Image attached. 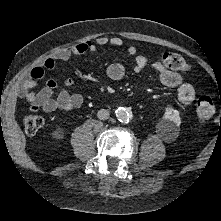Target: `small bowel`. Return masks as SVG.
Listing matches in <instances>:
<instances>
[{
    "label": "small bowel",
    "mask_w": 221,
    "mask_h": 221,
    "mask_svg": "<svg viewBox=\"0 0 221 221\" xmlns=\"http://www.w3.org/2000/svg\"><path fill=\"white\" fill-rule=\"evenodd\" d=\"M111 45L121 47L124 41L119 36H100L96 40H87L75 44L71 47L62 48L56 51L52 56L45 59L38 67L34 68L29 77L25 78L19 87V96L25 99L29 107L33 110H43L45 112L70 111L79 108L82 105L83 98L80 94H71L67 90H61L56 93L58 83L52 78L46 79L44 88L38 90V82L46 78L47 70H54L59 61L68 60L72 56L83 55L96 52L98 47ZM127 52L135 56L133 70L136 73L145 69L148 64L146 56L137 54V48L129 46ZM158 74L159 81L168 88L177 90V97L181 104L189 105L195 99L194 87L183 80L180 74L171 71L163 66L161 62H155L152 65ZM107 76L113 81H120L125 76V68L120 63H112L108 66ZM73 79L68 77L64 80L66 86H71Z\"/></svg>",
    "instance_id": "c3829d8e"
}]
</instances>
